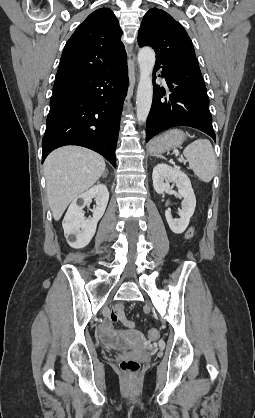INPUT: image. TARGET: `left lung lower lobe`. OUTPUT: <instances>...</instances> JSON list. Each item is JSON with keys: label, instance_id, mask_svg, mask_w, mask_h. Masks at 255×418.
Masks as SVG:
<instances>
[{"label": "left lung lower lobe", "instance_id": "0a47b994", "mask_svg": "<svg viewBox=\"0 0 255 418\" xmlns=\"http://www.w3.org/2000/svg\"><path fill=\"white\" fill-rule=\"evenodd\" d=\"M160 68L171 93L165 97V90L155 85L146 124V142L161 131L175 126L199 129L216 140L209 98L197 58L156 61L154 84L155 74Z\"/></svg>", "mask_w": 255, "mask_h": 418}]
</instances>
